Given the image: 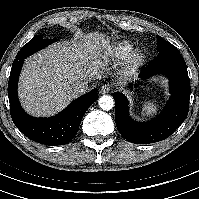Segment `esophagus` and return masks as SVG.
<instances>
[{
	"instance_id": "34e87169",
	"label": "esophagus",
	"mask_w": 199,
	"mask_h": 199,
	"mask_svg": "<svg viewBox=\"0 0 199 199\" xmlns=\"http://www.w3.org/2000/svg\"><path fill=\"white\" fill-rule=\"evenodd\" d=\"M112 90V86L110 84H104L101 88H100V92L102 94H106L109 93Z\"/></svg>"
}]
</instances>
